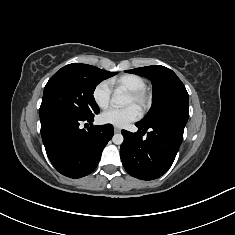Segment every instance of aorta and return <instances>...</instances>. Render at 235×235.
Instances as JSON below:
<instances>
[{
  "label": "aorta",
  "instance_id": "1",
  "mask_svg": "<svg viewBox=\"0 0 235 235\" xmlns=\"http://www.w3.org/2000/svg\"><path fill=\"white\" fill-rule=\"evenodd\" d=\"M111 103L116 107H122L129 103V99L120 89H117L112 95ZM123 140V135L120 133L114 134L112 137V141L116 145H121Z\"/></svg>",
  "mask_w": 235,
  "mask_h": 235
}]
</instances>
